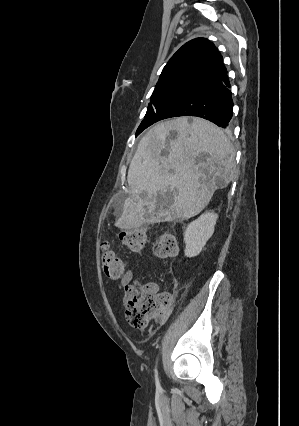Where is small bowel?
<instances>
[{
    "label": "small bowel",
    "mask_w": 299,
    "mask_h": 426,
    "mask_svg": "<svg viewBox=\"0 0 299 426\" xmlns=\"http://www.w3.org/2000/svg\"><path fill=\"white\" fill-rule=\"evenodd\" d=\"M132 278H133V272H132V270H127L123 274V276H121V280H120L121 286L122 287H126L127 285H129V283L131 282ZM151 287H152L153 291L157 290V287L155 285H151ZM165 319H166L165 315L161 316L160 319H159L160 324H163L164 321H165Z\"/></svg>",
    "instance_id": "c3829d8e"
}]
</instances>
